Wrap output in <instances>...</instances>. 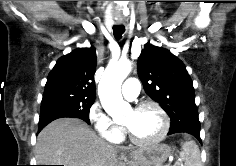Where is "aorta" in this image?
<instances>
[{"label":"aorta","instance_id":"1","mask_svg":"<svg viewBox=\"0 0 236 166\" xmlns=\"http://www.w3.org/2000/svg\"><path fill=\"white\" fill-rule=\"evenodd\" d=\"M131 69L130 61H119L107 67L99 82L98 95L101 104L113 118L119 117L131 109L121 95V84Z\"/></svg>","mask_w":236,"mask_h":166}]
</instances>
